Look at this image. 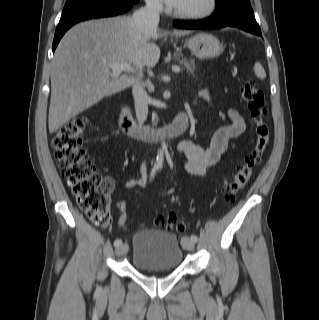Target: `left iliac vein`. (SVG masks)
Segmentation results:
<instances>
[{
    "label": "left iliac vein",
    "instance_id": "1",
    "mask_svg": "<svg viewBox=\"0 0 319 320\" xmlns=\"http://www.w3.org/2000/svg\"><path fill=\"white\" fill-rule=\"evenodd\" d=\"M194 243L195 242L191 241L188 237L182 239V245L188 251L194 250Z\"/></svg>",
    "mask_w": 319,
    "mask_h": 320
}]
</instances>
